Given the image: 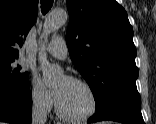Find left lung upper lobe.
<instances>
[{
	"mask_svg": "<svg viewBox=\"0 0 156 124\" xmlns=\"http://www.w3.org/2000/svg\"><path fill=\"white\" fill-rule=\"evenodd\" d=\"M66 43L89 84L96 111L114 102L141 107L133 28L115 0H67Z\"/></svg>",
	"mask_w": 156,
	"mask_h": 124,
	"instance_id": "1",
	"label": "left lung upper lobe"
}]
</instances>
